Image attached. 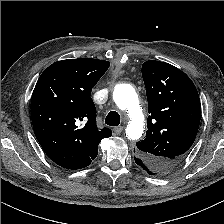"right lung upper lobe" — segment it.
<instances>
[{"instance_id": "cb5924a9", "label": "right lung upper lobe", "mask_w": 224, "mask_h": 224, "mask_svg": "<svg viewBox=\"0 0 224 224\" xmlns=\"http://www.w3.org/2000/svg\"><path fill=\"white\" fill-rule=\"evenodd\" d=\"M104 60L79 58L57 61L39 77L31 97L34 133L44 152L59 166L87 167L98 145L110 137L99 130L91 91L108 69Z\"/></svg>"}]
</instances>
